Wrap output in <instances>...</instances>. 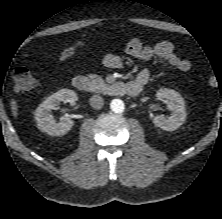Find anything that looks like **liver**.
<instances>
[{
	"label": "liver",
	"instance_id": "liver-1",
	"mask_svg": "<svg viewBox=\"0 0 222 219\" xmlns=\"http://www.w3.org/2000/svg\"><path fill=\"white\" fill-rule=\"evenodd\" d=\"M11 105V111L14 117H17L18 114V106H17V102L15 99H12L10 102Z\"/></svg>",
	"mask_w": 222,
	"mask_h": 219
}]
</instances>
